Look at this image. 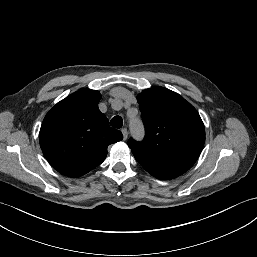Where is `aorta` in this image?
Masks as SVG:
<instances>
[{"instance_id":"1","label":"aorta","mask_w":257,"mask_h":257,"mask_svg":"<svg viewBox=\"0 0 257 257\" xmlns=\"http://www.w3.org/2000/svg\"><path fill=\"white\" fill-rule=\"evenodd\" d=\"M131 126H132V129H136L137 128V126H138V121L137 120H132L131 121Z\"/></svg>"}]
</instances>
